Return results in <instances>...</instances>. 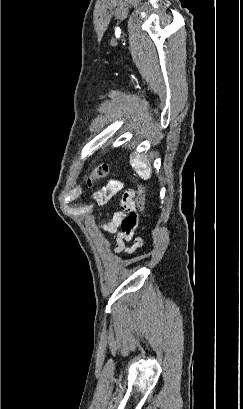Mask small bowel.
<instances>
[{
  "label": "small bowel",
  "instance_id": "obj_1",
  "mask_svg": "<svg viewBox=\"0 0 243 409\" xmlns=\"http://www.w3.org/2000/svg\"><path fill=\"white\" fill-rule=\"evenodd\" d=\"M121 189L118 181H110L103 189L97 192L96 196L100 204L110 199L116 192ZM120 212L116 213L111 221L104 224V229L115 235V251L132 253L143 245L142 238H136L131 247L126 243L133 239L135 229L138 225V214L134 201V192L127 191L120 200Z\"/></svg>",
  "mask_w": 243,
  "mask_h": 409
}]
</instances>
